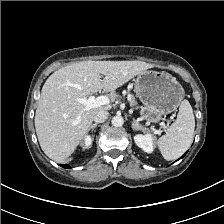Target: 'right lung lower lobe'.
<instances>
[{
    "mask_svg": "<svg viewBox=\"0 0 224 224\" xmlns=\"http://www.w3.org/2000/svg\"><path fill=\"white\" fill-rule=\"evenodd\" d=\"M63 168H70L69 165L65 164V165H61Z\"/></svg>",
    "mask_w": 224,
    "mask_h": 224,
    "instance_id": "98d812e1",
    "label": "right lung lower lobe"
}]
</instances>
